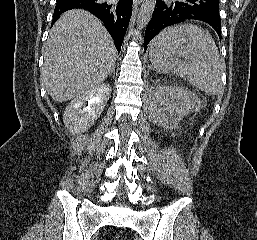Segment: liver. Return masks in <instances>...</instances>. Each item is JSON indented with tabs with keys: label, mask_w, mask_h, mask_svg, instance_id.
Listing matches in <instances>:
<instances>
[{
	"label": "liver",
	"mask_w": 257,
	"mask_h": 240,
	"mask_svg": "<svg viewBox=\"0 0 257 240\" xmlns=\"http://www.w3.org/2000/svg\"><path fill=\"white\" fill-rule=\"evenodd\" d=\"M116 57L101 21L87 11L70 10L49 33L42 80L52 99L64 102L101 85L115 67Z\"/></svg>",
	"instance_id": "liver-1"
}]
</instances>
